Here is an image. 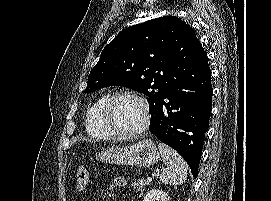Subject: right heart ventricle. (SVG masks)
Here are the masks:
<instances>
[{"instance_id": "e07e8e85", "label": "right heart ventricle", "mask_w": 271, "mask_h": 201, "mask_svg": "<svg viewBox=\"0 0 271 201\" xmlns=\"http://www.w3.org/2000/svg\"><path fill=\"white\" fill-rule=\"evenodd\" d=\"M108 96L99 97L87 110L85 117V127L87 133L99 139H111L116 135L106 126L103 117L102 109Z\"/></svg>"}]
</instances>
